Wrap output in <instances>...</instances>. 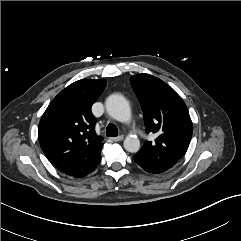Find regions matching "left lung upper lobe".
I'll use <instances>...</instances> for the list:
<instances>
[{"label":"left lung upper lobe","mask_w":241,"mask_h":241,"mask_svg":"<svg viewBox=\"0 0 241 241\" xmlns=\"http://www.w3.org/2000/svg\"><path fill=\"white\" fill-rule=\"evenodd\" d=\"M131 86L141 104L146 132L158 135L145 141L133 157L145 171L168 170L186 153L193 132L182 98L165 82L149 74L131 77Z\"/></svg>","instance_id":"1"}]
</instances>
